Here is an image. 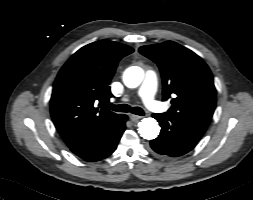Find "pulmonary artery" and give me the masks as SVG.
<instances>
[{"mask_svg":"<svg viewBox=\"0 0 253 200\" xmlns=\"http://www.w3.org/2000/svg\"><path fill=\"white\" fill-rule=\"evenodd\" d=\"M157 90V75L153 70H148L145 75L144 82L139 90V96L152 111H159L160 105L155 100V93Z\"/></svg>","mask_w":253,"mask_h":200,"instance_id":"pulmonary-artery-1","label":"pulmonary artery"}]
</instances>
